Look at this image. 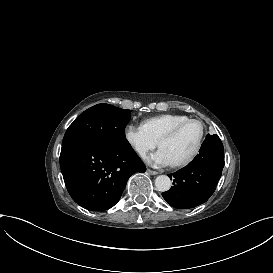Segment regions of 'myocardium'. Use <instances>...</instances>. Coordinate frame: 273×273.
<instances>
[{
  "label": "myocardium",
  "instance_id": "1",
  "mask_svg": "<svg viewBox=\"0 0 273 273\" xmlns=\"http://www.w3.org/2000/svg\"><path fill=\"white\" fill-rule=\"evenodd\" d=\"M191 123H198L200 125V137L199 140L196 144L195 149L193 150V152L191 153V155L186 158L183 161L177 162V163H173L172 165L174 167H184L187 166L189 164H191L196 158L197 156L200 154L204 140H205V135H206V125L204 124V122L199 119V118H190L176 126H174L172 129H170L169 131H167L166 133H164L161 138L158 141L159 146H161V144L163 143V141L167 140V139H171L173 137H175L181 130H183L186 126H188Z\"/></svg>",
  "mask_w": 273,
  "mask_h": 273
}]
</instances>
